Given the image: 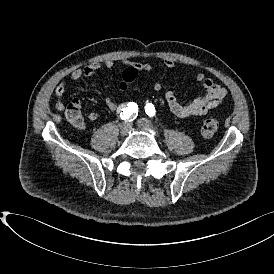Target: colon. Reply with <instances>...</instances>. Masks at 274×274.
<instances>
[{
	"label": "colon",
	"mask_w": 274,
	"mask_h": 274,
	"mask_svg": "<svg viewBox=\"0 0 274 274\" xmlns=\"http://www.w3.org/2000/svg\"><path fill=\"white\" fill-rule=\"evenodd\" d=\"M138 76V70L135 67L127 68L123 73V79L119 80L116 87L119 91L124 92L128 89V82L133 81ZM65 114L70 122L79 127L82 124L79 106L75 103H70L65 108ZM218 130V121L214 118H207L202 122L201 131L205 136L213 135Z\"/></svg>",
	"instance_id": "colon-1"
}]
</instances>
